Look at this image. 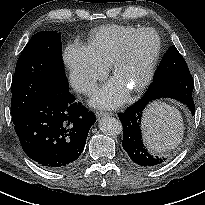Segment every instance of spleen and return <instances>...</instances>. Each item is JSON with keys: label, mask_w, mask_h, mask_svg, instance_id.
Here are the masks:
<instances>
[{"label": "spleen", "mask_w": 205, "mask_h": 205, "mask_svg": "<svg viewBox=\"0 0 205 205\" xmlns=\"http://www.w3.org/2000/svg\"><path fill=\"white\" fill-rule=\"evenodd\" d=\"M147 146L158 153L174 149L183 137L180 112L166 103H154L146 109L142 120Z\"/></svg>", "instance_id": "spleen-1"}]
</instances>
